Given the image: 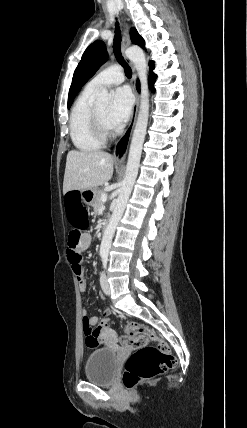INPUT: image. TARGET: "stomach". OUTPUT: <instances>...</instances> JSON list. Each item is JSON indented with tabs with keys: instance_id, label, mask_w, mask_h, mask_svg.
Here are the masks:
<instances>
[{
	"instance_id": "1",
	"label": "stomach",
	"mask_w": 247,
	"mask_h": 428,
	"mask_svg": "<svg viewBox=\"0 0 247 428\" xmlns=\"http://www.w3.org/2000/svg\"><path fill=\"white\" fill-rule=\"evenodd\" d=\"M96 193H97L96 188L83 190L81 191V197L86 204L93 205L95 201Z\"/></svg>"
}]
</instances>
